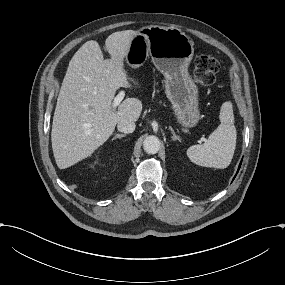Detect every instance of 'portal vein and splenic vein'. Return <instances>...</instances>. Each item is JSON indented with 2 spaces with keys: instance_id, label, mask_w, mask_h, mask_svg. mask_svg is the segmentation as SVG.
<instances>
[{
  "instance_id": "18ae733b",
  "label": "portal vein and splenic vein",
  "mask_w": 285,
  "mask_h": 285,
  "mask_svg": "<svg viewBox=\"0 0 285 285\" xmlns=\"http://www.w3.org/2000/svg\"><path fill=\"white\" fill-rule=\"evenodd\" d=\"M125 97V90L121 89L119 91V93L117 94V96L114 98V106H118L120 104V102L124 99Z\"/></svg>"
}]
</instances>
